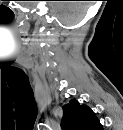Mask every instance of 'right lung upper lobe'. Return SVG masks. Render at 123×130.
<instances>
[{
  "label": "right lung upper lobe",
  "instance_id": "obj_1",
  "mask_svg": "<svg viewBox=\"0 0 123 130\" xmlns=\"http://www.w3.org/2000/svg\"><path fill=\"white\" fill-rule=\"evenodd\" d=\"M63 130H101L102 125L95 113L86 105H80L77 100H70L63 106Z\"/></svg>",
  "mask_w": 123,
  "mask_h": 130
}]
</instances>
